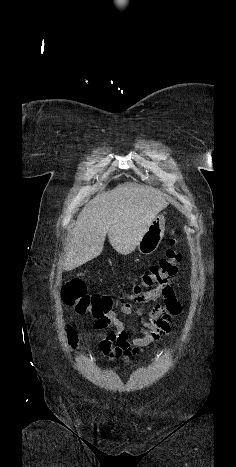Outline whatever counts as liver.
Masks as SVG:
<instances>
[{"mask_svg": "<svg viewBox=\"0 0 236 467\" xmlns=\"http://www.w3.org/2000/svg\"><path fill=\"white\" fill-rule=\"evenodd\" d=\"M167 205L162 194L135 183L98 194L85 205L70 231L60 267L70 271L99 256L106 235L116 252L132 253Z\"/></svg>", "mask_w": 236, "mask_h": 467, "instance_id": "6515ba94", "label": "liver"}]
</instances>
